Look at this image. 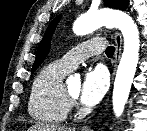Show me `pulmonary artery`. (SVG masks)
Returning <instances> with one entry per match:
<instances>
[{"instance_id": "e3ab8cb5", "label": "pulmonary artery", "mask_w": 147, "mask_h": 131, "mask_svg": "<svg viewBox=\"0 0 147 131\" xmlns=\"http://www.w3.org/2000/svg\"><path fill=\"white\" fill-rule=\"evenodd\" d=\"M104 49L105 41L102 38H93L68 51L58 62L68 70H72L85 59L100 54Z\"/></svg>"}]
</instances>
